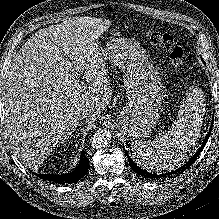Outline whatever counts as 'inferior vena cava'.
Masks as SVG:
<instances>
[{
    "instance_id": "inferior-vena-cava-1",
    "label": "inferior vena cava",
    "mask_w": 219,
    "mask_h": 219,
    "mask_svg": "<svg viewBox=\"0 0 219 219\" xmlns=\"http://www.w3.org/2000/svg\"><path fill=\"white\" fill-rule=\"evenodd\" d=\"M76 116L78 119L88 118L91 116V111L85 107L78 108Z\"/></svg>"
}]
</instances>
